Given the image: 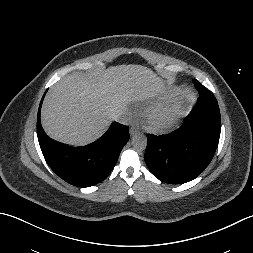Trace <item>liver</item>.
<instances>
[{
	"label": "liver",
	"mask_w": 253,
	"mask_h": 253,
	"mask_svg": "<svg viewBox=\"0 0 253 253\" xmlns=\"http://www.w3.org/2000/svg\"><path fill=\"white\" fill-rule=\"evenodd\" d=\"M164 88L163 80L141 65L112 66L92 75L73 72L47 93L41 110L42 126L54 140L85 145L105 133L114 113Z\"/></svg>",
	"instance_id": "6515ba94"
}]
</instances>
